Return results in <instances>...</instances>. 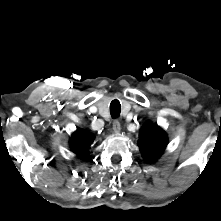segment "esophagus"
<instances>
[{"label": "esophagus", "instance_id": "obj_1", "mask_svg": "<svg viewBox=\"0 0 221 221\" xmlns=\"http://www.w3.org/2000/svg\"><path fill=\"white\" fill-rule=\"evenodd\" d=\"M113 130L118 133L121 130V125L120 122L118 120H114L113 121Z\"/></svg>", "mask_w": 221, "mask_h": 221}]
</instances>
